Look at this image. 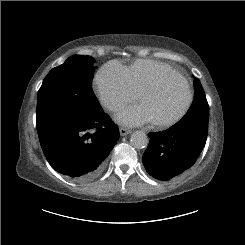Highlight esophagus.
<instances>
[{
  "label": "esophagus",
  "mask_w": 245,
  "mask_h": 245,
  "mask_svg": "<svg viewBox=\"0 0 245 245\" xmlns=\"http://www.w3.org/2000/svg\"><path fill=\"white\" fill-rule=\"evenodd\" d=\"M119 132H120V135H121V136H126V135H128V134L131 133V130H130V129H127V128L121 127V128L119 129Z\"/></svg>",
  "instance_id": "esophagus-1"
}]
</instances>
